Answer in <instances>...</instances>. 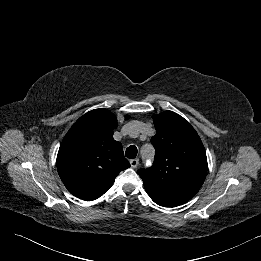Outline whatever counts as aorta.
<instances>
[{
	"instance_id": "obj_1",
	"label": "aorta",
	"mask_w": 261,
	"mask_h": 261,
	"mask_svg": "<svg viewBox=\"0 0 261 261\" xmlns=\"http://www.w3.org/2000/svg\"><path fill=\"white\" fill-rule=\"evenodd\" d=\"M153 154H154V149L152 146L147 145V146L143 147V149H142L143 157H152Z\"/></svg>"
}]
</instances>
